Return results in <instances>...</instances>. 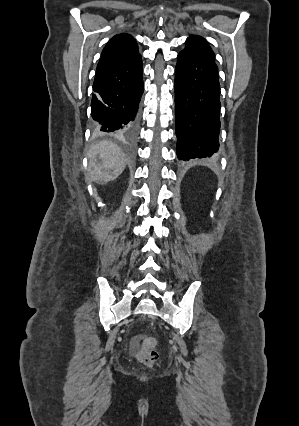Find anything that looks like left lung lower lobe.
<instances>
[{
    "mask_svg": "<svg viewBox=\"0 0 299 426\" xmlns=\"http://www.w3.org/2000/svg\"><path fill=\"white\" fill-rule=\"evenodd\" d=\"M175 69V120L179 160L213 157L219 148L220 84L214 60L181 51Z\"/></svg>",
    "mask_w": 299,
    "mask_h": 426,
    "instance_id": "1",
    "label": "left lung lower lobe"
}]
</instances>
